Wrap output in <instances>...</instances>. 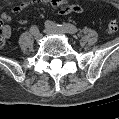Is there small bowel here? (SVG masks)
<instances>
[{
    "label": "small bowel",
    "mask_w": 119,
    "mask_h": 119,
    "mask_svg": "<svg viewBox=\"0 0 119 119\" xmlns=\"http://www.w3.org/2000/svg\"><path fill=\"white\" fill-rule=\"evenodd\" d=\"M42 2L50 3L53 7L58 8L62 14L82 12V7L80 5L70 4L65 0H50V1H42ZM28 6H29V3L24 2L15 6L12 11L14 14H19ZM2 20L6 23H9L12 20V17L9 14L4 13L2 14ZM25 23H26L25 20L20 21V24H25ZM4 34L6 38L10 37L11 35V29L8 25H4Z\"/></svg>",
    "instance_id": "1"
}]
</instances>
